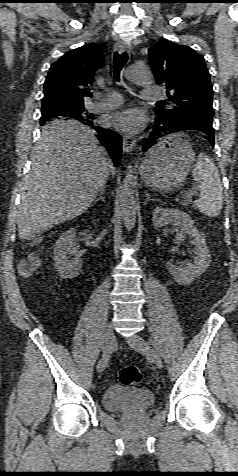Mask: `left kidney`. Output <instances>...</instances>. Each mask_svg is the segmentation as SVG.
<instances>
[{
    "label": "left kidney",
    "mask_w": 238,
    "mask_h": 476,
    "mask_svg": "<svg viewBox=\"0 0 238 476\" xmlns=\"http://www.w3.org/2000/svg\"><path fill=\"white\" fill-rule=\"evenodd\" d=\"M153 225L156 228L166 226L170 223L179 227V232L175 237L174 242L178 243L186 235L193 239L195 246V258L192 263H181L180 266L172 263H167V267L172 277L182 285H189L197 277L202 275L209 266L210 254L206 246L205 239L194 225L191 217L180 210L156 207L153 211Z\"/></svg>",
    "instance_id": "1"
}]
</instances>
